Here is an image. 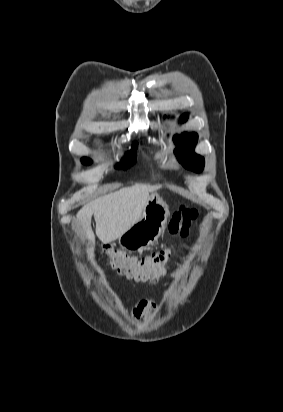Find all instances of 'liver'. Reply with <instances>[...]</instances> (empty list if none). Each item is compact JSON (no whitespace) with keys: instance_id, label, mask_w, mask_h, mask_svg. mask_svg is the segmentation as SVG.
I'll list each match as a JSON object with an SVG mask.
<instances>
[{"instance_id":"1","label":"liver","mask_w":283,"mask_h":412,"mask_svg":"<svg viewBox=\"0 0 283 412\" xmlns=\"http://www.w3.org/2000/svg\"><path fill=\"white\" fill-rule=\"evenodd\" d=\"M157 189V186L135 184L84 205L77 213V221L92 245L87 249L88 255L93 254L95 245V235L91 228L92 215L96 222V235L103 243H110L140 220L149 193Z\"/></svg>"}]
</instances>
